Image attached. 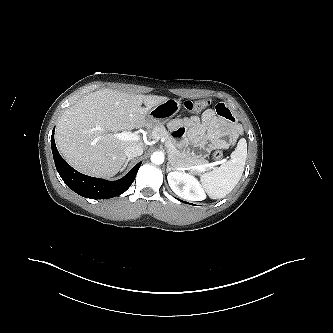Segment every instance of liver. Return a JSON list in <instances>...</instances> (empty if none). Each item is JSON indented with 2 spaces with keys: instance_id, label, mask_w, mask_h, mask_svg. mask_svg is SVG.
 Masks as SVG:
<instances>
[{
  "instance_id": "liver-1",
  "label": "liver",
  "mask_w": 333,
  "mask_h": 333,
  "mask_svg": "<svg viewBox=\"0 0 333 333\" xmlns=\"http://www.w3.org/2000/svg\"><path fill=\"white\" fill-rule=\"evenodd\" d=\"M165 99L110 89L90 93L66 109L59 119L55 134L58 150L76 170L96 177H112L126 161V147L143 146L141 139L123 141L114 135L150 127L148 111Z\"/></svg>"
}]
</instances>
